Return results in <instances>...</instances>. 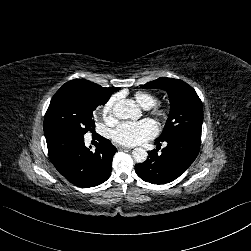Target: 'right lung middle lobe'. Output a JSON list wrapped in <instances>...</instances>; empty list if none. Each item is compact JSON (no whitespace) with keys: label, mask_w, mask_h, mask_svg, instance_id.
<instances>
[{"label":"right lung middle lobe","mask_w":251,"mask_h":251,"mask_svg":"<svg viewBox=\"0 0 251 251\" xmlns=\"http://www.w3.org/2000/svg\"><path fill=\"white\" fill-rule=\"evenodd\" d=\"M107 99L93 94L80 83H65L52 97L44 117V133L52 129L67 130L83 136L93 132V111Z\"/></svg>","instance_id":"1"}]
</instances>
